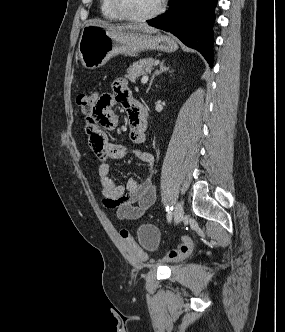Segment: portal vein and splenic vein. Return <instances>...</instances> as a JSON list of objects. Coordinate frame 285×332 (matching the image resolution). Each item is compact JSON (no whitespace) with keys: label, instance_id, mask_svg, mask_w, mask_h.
I'll return each instance as SVG.
<instances>
[{"label":"portal vein and splenic vein","instance_id":"obj_1","mask_svg":"<svg viewBox=\"0 0 285 332\" xmlns=\"http://www.w3.org/2000/svg\"><path fill=\"white\" fill-rule=\"evenodd\" d=\"M147 81H148V76L147 75L143 76L141 79V83L145 84V83H147Z\"/></svg>","mask_w":285,"mask_h":332}]
</instances>
